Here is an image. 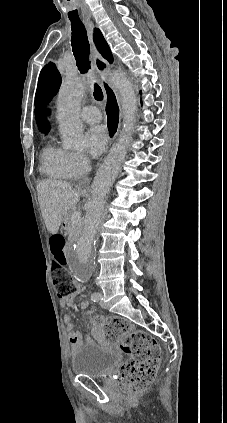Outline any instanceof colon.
I'll list each match as a JSON object with an SVG mask.
<instances>
[{"instance_id":"colon-1","label":"colon","mask_w":227,"mask_h":423,"mask_svg":"<svg viewBox=\"0 0 227 423\" xmlns=\"http://www.w3.org/2000/svg\"><path fill=\"white\" fill-rule=\"evenodd\" d=\"M50 245L53 255L52 273L57 292L60 297L74 295L77 287L67 270L64 236L53 235L50 238ZM95 322L105 325L111 337L122 339V350L129 356L119 373L125 391L133 394L148 388L155 378L160 363L158 343L146 332L132 329L127 322L119 318L110 317L105 321L96 319Z\"/></svg>"}]
</instances>
